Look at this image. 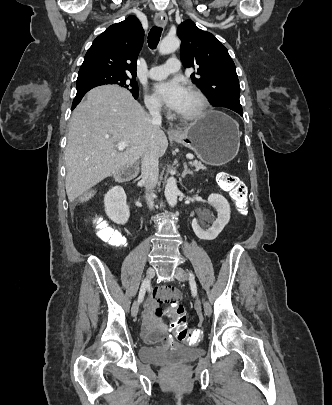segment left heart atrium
Segmentation results:
<instances>
[{"label":"left heart atrium","instance_id":"obj_1","mask_svg":"<svg viewBox=\"0 0 332 405\" xmlns=\"http://www.w3.org/2000/svg\"><path fill=\"white\" fill-rule=\"evenodd\" d=\"M154 93L167 107L177 111L185 97L186 88L178 79H172L155 84Z\"/></svg>","mask_w":332,"mask_h":405}]
</instances>
